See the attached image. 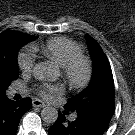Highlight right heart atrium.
<instances>
[{"mask_svg":"<svg viewBox=\"0 0 135 135\" xmlns=\"http://www.w3.org/2000/svg\"><path fill=\"white\" fill-rule=\"evenodd\" d=\"M35 64V55L31 50H22L17 55V65L19 69L28 74L32 71Z\"/></svg>","mask_w":135,"mask_h":135,"instance_id":"d8ad5b80","label":"right heart atrium"}]
</instances>
